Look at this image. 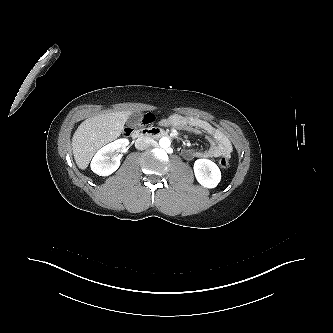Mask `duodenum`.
<instances>
[{"instance_id": "1", "label": "duodenum", "mask_w": 333, "mask_h": 333, "mask_svg": "<svg viewBox=\"0 0 333 333\" xmlns=\"http://www.w3.org/2000/svg\"><path fill=\"white\" fill-rule=\"evenodd\" d=\"M168 133L160 128H145V129H139L135 130L131 137L135 141V144L137 146H141L144 142H146L149 139H157L162 137H167Z\"/></svg>"}]
</instances>
